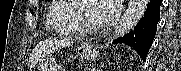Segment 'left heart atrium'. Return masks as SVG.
Listing matches in <instances>:
<instances>
[{
    "label": "left heart atrium",
    "instance_id": "left-heart-atrium-1",
    "mask_svg": "<svg viewBox=\"0 0 181 71\" xmlns=\"http://www.w3.org/2000/svg\"><path fill=\"white\" fill-rule=\"evenodd\" d=\"M98 14L99 23H109L113 21L119 13V0H101Z\"/></svg>",
    "mask_w": 181,
    "mask_h": 71
}]
</instances>
